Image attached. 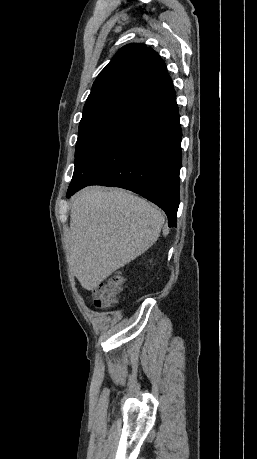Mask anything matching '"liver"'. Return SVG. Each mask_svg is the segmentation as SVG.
I'll return each instance as SVG.
<instances>
[{
  "label": "liver",
  "instance_id": "1",
  "mask_svg": "<svg viewBox=\"0 0 257 459\" xmlns=\"http://www.w3.org/2000/svg\"><path fill=\"white\" fill-rule=\"evenodd\" d=\"M163 224L160 210L125 190L85 188L72 203L69 267L84 289H95L148 250Z\"/></svg>",
  "mask_w": 257,
  "mask_h": 459
}]
</instances>
